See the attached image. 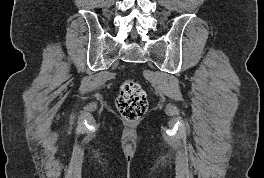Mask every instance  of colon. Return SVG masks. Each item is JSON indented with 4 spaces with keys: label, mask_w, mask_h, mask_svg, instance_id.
Returning a JSON list of instances; mask_svg holds the SVG:
<instances>
[{
    "label": "colon",
    "mask_w": 264,
    "mask_h": 178,
    "mask_svg": "<svg viewBox=\"0 0 264 178\" xmlns=\"http://www.w3.org/2000/svg\"><path fill=\"white\" fill-rule=\"evenodd\" d=\"M116 107L128 121L141 118L147 111L148 101L141 85L132 80H126L116 98Z\"/></svg>",
    "instance_id": "1"
}]
</instances>
